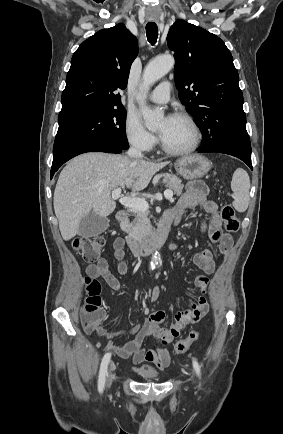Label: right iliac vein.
Returning <instances> with one entry per match:
<instances>
[{
    "label": "right iliac vein",
    "mask_w": 283,
    "mask_h": 434,
    "mask_svg": "<svg viewBox=\"0 0 283 434\" xmlns=\"http://www.w3.org/2000/svg\"><path fill=\"white\" fill-rule=\"evenodd\" d=\"M114 365L110 364L107 372V386L110 387L114 378L113 375Z\"/></svg>",
    "instance_id": "63e3f726"
}]
</instances>
